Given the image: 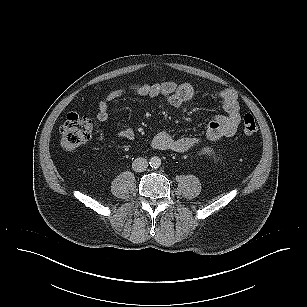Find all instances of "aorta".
Listing matches in <instances>:
<instances>
[{
  "mask_svg": "<svg viewBox=\"0 0 307 307\" xmlns=\"http://www.w3.org/2000/svg\"><path fill=\"white\" fill-rule=\"evenodd\" d=\"M149 164L152 168H159L161 166V159L158 156H153L150 158Z\"/></svg>",
  "mask_w": 307,
  "mask_h": 307,
  "instance_id": "1",
  "label": "aorta"
}]
</instances>
